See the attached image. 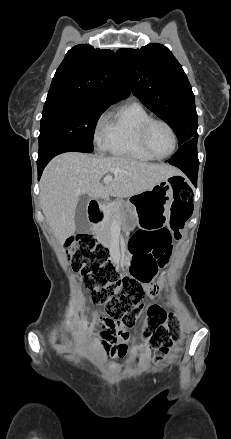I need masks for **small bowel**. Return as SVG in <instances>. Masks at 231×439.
<instances>
[{
  "mask_svg": "<svg viewBox=\"0 0 231 439\" xmlns=\"http://www.w3.org/2000/svg\"><path fill=\"white\" fill-rule=\"evenodd\" d=\"M136 235H142L143 239L136 242L134 248L129 243L128 248L132 255V266L141 263L154 271L160 267L159 261L162 258L166 257L169 259L173 240L178 238V234L172 231L170 227L165 226L153 230L141 229L131 240ZM152 289L150 288V291ZM99 321L103 327L101 333L102 345L110 353L111 357L123 359L135 351V347L129 345L131 337L124 324L102 315H99Z\"/></svg>",
  "mask_w": 231,
  "mask_h": 439,
  "instance_id": "small-bowel-1",
  "label": "small bowel"
}]
</instances>
